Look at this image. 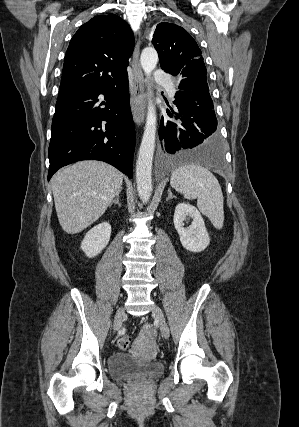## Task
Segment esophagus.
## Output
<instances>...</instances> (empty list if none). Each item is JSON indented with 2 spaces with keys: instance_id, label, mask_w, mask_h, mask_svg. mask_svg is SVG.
<instances>
[{
  "instance_id": "obj_1",
  "label": "esophagus",
  "mask_w": 299,
  "mask_h": 427,
  "mask_svg": "<svg viewBox=\"0 0 299 427\" xmlns=\"http://www.w3.org/2000/svg\"><path fill=\"white\" fill-rule=\"evenodd\" d=\"M140 40L137 41L132 59L133 70V95L131 100V111L137 125H141L145 118V91L144 77L139 63Z\"/></svg>"
}]
</instances>
